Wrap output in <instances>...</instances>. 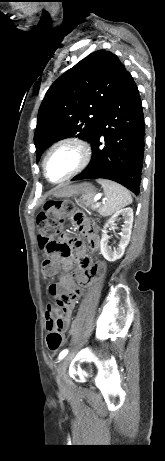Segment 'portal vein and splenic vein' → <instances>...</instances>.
<instances>
[{
  "mask_svg": "<svg viewBox=\"0 0 165 461\" xmlns=\"http://www.w3.org/2000/svg\"><path fill=\"white\" fill-rule=\"evenodd\" d=\"M99 199H100V196H99V195L95 196V198H94V201L96 202V206H97V207L100 206V203L98 202Z\"/></svg>",
  "mask_w": 165,
  "mask_h": 461,
  "instance_id": "18ae733b",
  "label": "portal vein and splenic vein"
}]
</instances>
